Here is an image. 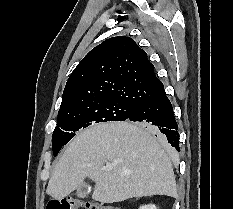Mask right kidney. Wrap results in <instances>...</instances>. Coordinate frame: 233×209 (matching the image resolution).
<instances>
[{
	"label": "right kidney",
	"mask_w": 233,
	"mask_h": 209,
	"mask_svg": "<svg viewBox=\"0 0 233 209\" xmlns=\"http://www.w3.org/2000/svg\"><path fill=\"white\" fill-rule=\"evenodd\" d=\"M139 209H157V207L154 204H148L141 206Z\"/></svg>",
	"instance_id": "obj_1"
}]
</instances>
